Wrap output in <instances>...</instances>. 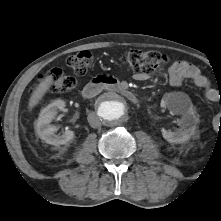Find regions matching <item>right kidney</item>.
I'll list each match as a JSON object with an SVG mask.
<instances>
[{
    "label": "right kidney",
    "mask_w": 221,
    "mask_h": 221,
    "mask_svg": "<svg viewBox=\"0 0 221 221\" xmlns=\"http://www.w3.org/2000/svg\"><path fill=\"white\" fill-rule=\"evenodd\" d=\"M65 107L63 100H55L47 107L41 110L39 118L35 123V132L37 135L44 140L47 144L51 145H64L74 138V132L66 130L61 136L56 135V126L50 125V122L55 118L57 111Z\"/></svg>",
    "instance_id": "right-kidney-1"
}]
</instances>
